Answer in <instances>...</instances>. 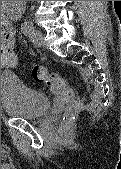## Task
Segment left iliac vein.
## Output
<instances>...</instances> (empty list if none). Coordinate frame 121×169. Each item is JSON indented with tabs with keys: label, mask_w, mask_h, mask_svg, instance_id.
Wrapping results in <instances>:
<instances>
[{
	"label": "left iliac vein",
	"mask_w": 121,
	"mask_h": 169,
	"mask_svg": "<svg viewBox=\"0 0 121 169\" xmlns=\"http://www.w3.org/2000/svg\"><path fill=\"white\" fill-rule=\"evenodd\" d=\"M31 41L38 47H42L44 44V37L41 31L32 29L29 33Z\"/></svg>",
	"instance_id": "4c4485c4"
}]
</instances>
